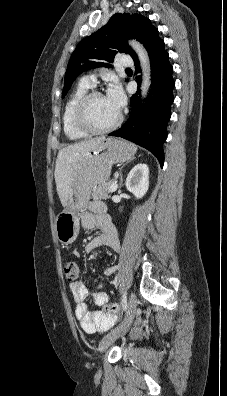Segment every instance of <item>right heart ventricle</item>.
<instances>
[{"label":"right heart ventricle","mask_w":227,"mask_h":396,"mask_svg":"<svg viewBox=\"0 0 227 396\" xmlns=\"http://www.w3.org/2000/svg\"><path fill=\"white\" fill-rule=\"evenodd\" d=\"M90 86L84 82L78 83L70 94L62 113V125L65 135L70 140H80L89 134L81 130L75 121V108L79 99L89 90Z\"/></svg>","instance_id":"e07e8e85"}]
</instances>
